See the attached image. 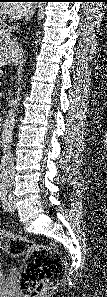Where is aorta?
<instances>
[{"instance_id":"1","label":"aorta","mask_w":107,"mask_h":297,"mask_svg":"<svg viewBox=\"0 0 107 297\" xmlns=\"http://www.w3.org/2000/svg\"><path fill=\"white\" fill-rule=\"evenodd\" d=\"M24 87H25V84L22 85V88ZM20 99H21V95L18 94L15 100L11 102V107L9 108L6 114V118L2 126L1 146L4 153L5 152L9 153L10 151V143L12 141L13 128L16 120V113H17Z\"/></svg>"}]
</instances>
